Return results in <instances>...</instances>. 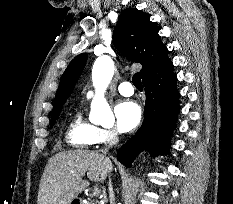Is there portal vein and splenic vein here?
<instances>
[{
  "mask_svg": "<svg viewBox=\"0 0 233 204\" xmlns=\"http://www.w3.org/2000/svg\"><path fill=\"white\" fill-rule=\"evenodd\" d=\"M101 194V190L99 188H95L93 191L94 196H99Z\"/></svg>",
  "mask_w": 233,
  "mask_h": 204,
  "instance_id": "obj_1",
  "label": "portal vein and splenic vein"
}]
</instances>
